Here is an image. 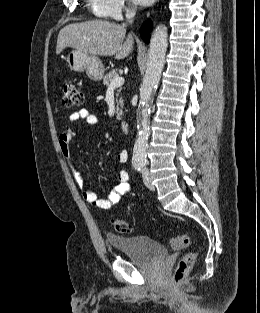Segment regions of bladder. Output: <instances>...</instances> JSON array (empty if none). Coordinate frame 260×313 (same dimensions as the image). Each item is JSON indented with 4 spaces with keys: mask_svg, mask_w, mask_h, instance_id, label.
<instances>
[{
    "mask_svg": "<svg viewBox=\"0 0 260 313\" xmlns=\"http://www.w3.org/2000/svg\"><path fill=\"white\" fill-rule=\"evenodd\" d=\"M108 245L124 252L137 266L149 267L167 257L166 247L146 236L125 237L108 234Z\"/></svg>",
    "mask_w": 260,
    "mask_h": 313,
    "instance_id": "1",
    "label": "bladder"
}]
</instances>
